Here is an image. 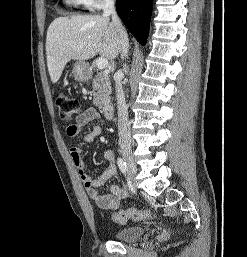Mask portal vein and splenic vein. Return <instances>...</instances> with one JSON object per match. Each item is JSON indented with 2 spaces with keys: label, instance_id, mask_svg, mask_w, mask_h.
I'll use <instances>...</instances> for the list:
<instances>
[{
  "label": "portal vein and splenic vein",
  "instance_id": "obj_1",
  "mask_svg": "<svg viewBox=\"0 0 247 257\" xmlns=\"http://www.w3.org/2000/svg\"><path fill=\"white\" fill-rule=\"evenodd\" d=\"M96 66L98 69L100 70H104L107 68L108 66V59L104 58V57H100L96 60Z\"/></svg>",
  "mask_w": 247,
  "mask_h": 257
}]
</instances>
